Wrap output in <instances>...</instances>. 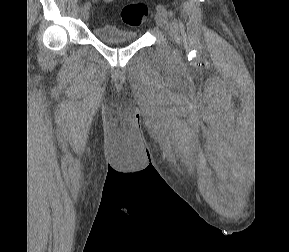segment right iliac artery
Segmentation results:
<instances>
[{
    "label": "right iliac artery",
    "mask_w": 289,
    "mask_h": 252,
    "mask_svg": "<svg viewBox=\"0 0 289 252\" xmlns=\"http://www.w3.org/2000/svg\"><path fill=\"white\" fill-rule=\"evenodd\" d=\"M83 7L89 9L91 7V4L89 2H86Z\"/></svg>",
    "instance_id": "obj_1"
}]
</instances>
